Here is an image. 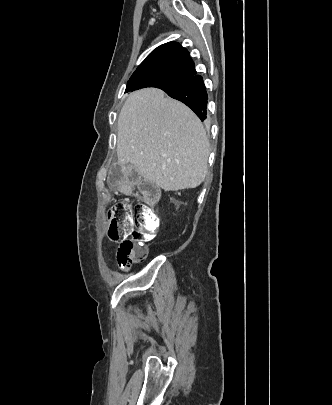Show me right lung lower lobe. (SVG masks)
Here are the masks:
<instances>
[{"label": "right lung lower lobe", "mask_w": 332, "mask_h": 405, "mask_svg": "<svg viewBox=\"0 0 332 405\" xmlns=\"http://www.w3.org/2000/svg\"><path fill=\"white\" fill-rule=\"evenodd\" d=\"M161 89L170 97L190 107L201 121L206 119L208 97L202 76L194 75L175 85Z\"/></svg>", "instance_id": "98d812e1"}]
</instances>
